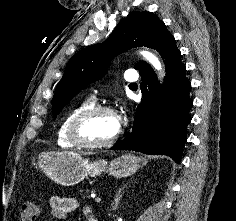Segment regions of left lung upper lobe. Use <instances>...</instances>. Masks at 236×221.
Here are the masks:
<instances>
[{
  "instance_id": "5c2ea615",
  "label": "left lung upper lobe",
  "mask_w": 236,
  "mask_h": 221,
  "mask_svg": "<svg viewBox=\"0 0 236 221\" xmlns=\"http://www.w3.org/2000/svg\"><path fill=\"white\" fill-rule=\"evenodd\" d=\"M167 32L166 26L151 12H131L121 21L110 37L101 44L77 52L68 62L55 91L52 104L54 117L82 88L107 72L111 59L133 47L155 48L159 38ZM145 62L135 65L139 70Z\"/></svg>"
}]
</instances>
